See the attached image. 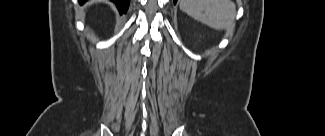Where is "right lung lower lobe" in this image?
Returning a JSON list of instances; mask_svg holds the SVG:
<instances>
[{
  "mask_svg": "<svg viewBox=\"0 0 325 136\" xmlns=\"http://www.w3.org/2000/svg\"><path fill=\"white\" fill-rule=\"evenodd\" d=\"M81 3H84L86 0H79ZM114 2L120 12V14L126 13L129 7L130 0H111Z\"/></svg>",
  "mask_w": 325,
  "mask_h": 136,
  "instance_id": "1",
  "label": "right lung lower lobe"
}]
</instances>
